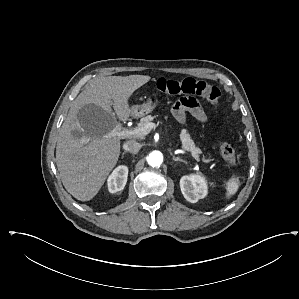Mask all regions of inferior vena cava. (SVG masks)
Segmentation results:
<instances>
[{
  "label": "inferior vena cava",
  "instance_id": "inferior-vena-cava-1",
  "mask_svg": "<svg viewBox=\"0 0 299 299\" xmlns=\"http://www.w3.org/2000/svg\"><path fill=\"white\" fill-rule=\"evenodd\" d=\"M140 148H141L140 143H138L135 140H129L126 143H124V145H123V149L132 154L138 153Z\"/></svg>",
  "mask_w": 299,
  "mask_h": 299
}]
</instances>
